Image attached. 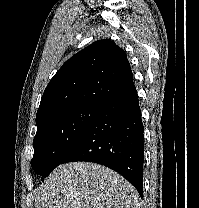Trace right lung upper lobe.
Instances as JSON below:
<instances>
[{
    "instance_id": "right-lung-upper-lobe-1",
    "label": "right lung upper lobe",
    "mask_w": 199,
    "mask_h": 208,
    "mask_svg": "<svg viewBox=\"0 0 199 208\" xmlns=\"http://www.w3.org/2000/svg\"><path fill=\"white\" fill-rule=\"evenodd\" d=\"M133 75L126 53L110 40H99L67 60L47 85L36 123L69 109L100 106L128 89Z\"/></svg>"
}]
</instances>
